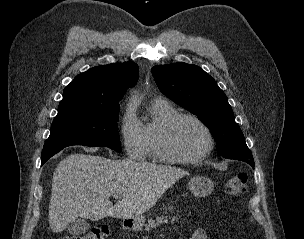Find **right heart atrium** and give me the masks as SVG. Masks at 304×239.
Here are the masks:
<instances>
[{
    "label": "right heart atrium",
    "mask_w": 304,
    "mask_h": 239,
    "mask_svg": "<svg viewBox=\"0 0 304 239\" xmlns=\"http://www.w3.org/2000/svg\"><path fill=\"white\" fill-rule=\"evenodd\" d=\"M119 132L127 155L135 159L143 158L146 147L142 125L130 106L122 114Z\"/></svg>",
    "instance_id": "right-heart-atrium-1"
}]
</instances>
